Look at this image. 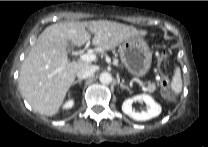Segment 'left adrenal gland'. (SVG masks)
Listing matches in <instances>:
<instances>
[{
  "instance_id": "left-adrenal-gland-1",
  "label": "left adrenal gland",
  "mask_w": 208,
  "mask_h": 147,
  "mask_svg": "<svg viewBox=\"0 0 208 147\" xmlns=\"http://www.w3.org/2000/svg\"><path fill=\"white\" fill-rule=\"evenodd\" d=\"M120 87H121L122 89H127L128 91H130V88H129L127 85H125L124 82H121V83H120Z\"/></svg>"
}]
</instances>
